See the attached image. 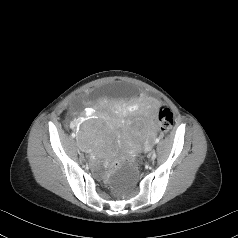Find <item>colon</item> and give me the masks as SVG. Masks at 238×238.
Wrapping results in <instances>:
<instances>
[{"mask_svg":"<svg viewBox=\"0 0 238 238\" xmlns=\"http://www.w3.org/2000/svg\"><path fill=\"white\" fill-rule=\"evenodd\" d=\"M156 117L162 132H167L171 129L173 125V114L168 107L161 106L157 111ZM118 166V162H112L109 165L108 169L101 177V182L103 184H108L110 182V178L114 176V171L118 168Z\"/></svg>","mask_w":238,"mask_h":238,"instance_id":"obj_1","label":"colon"}]
</instances>
